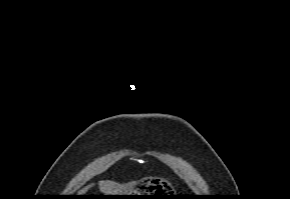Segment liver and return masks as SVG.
<instances>
[{"label":"liver","mask_w":290,"mask_h":199,"mask_svg":"<svg viewBox=\"0 0 290 199\" xmlns=\"http://www.w3.org/2000/svg\"><path fill=\"white\" fill-rule=\"evenodd\" d=\"M90 187L91 185L86 186L85 188L81 189L79 193H86ZM99 188L102 193H105V195L119 194L124 190L122 186L112 181H100Z\"/></svg>","instance_id":"liver-1"}]
</instances>
